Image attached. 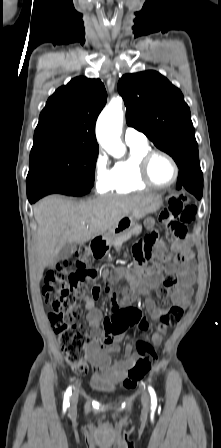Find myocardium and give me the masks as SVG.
<instances>
[{"label":"myocardium","instance_id":"myocardium-1","mask_svg":"<svg viewBox=\"0 0 221 448\" xmlns=\"http://www.w3.org/2000/svg\"><path fill=\"white\" fill-rule=\"evenodd\" d=\"M164 156L165 158H167L170 163L172 164L174 170H175V175L174 178L172 179V181H170L167 184H158L156 183L153 178L150 175V166H151V162L152 160L156 157V156ZM180 176V167L177 163V161L174 159V157L172 155H170L169 153L162 151V150H150L148 152H146L140 159L139 161V177L140 180L153 188L156 189H165V188H169L171 186H173L177 180L179 179Z\"/></svg>","mask_w":221,"mask_h":448}]
</instances>
